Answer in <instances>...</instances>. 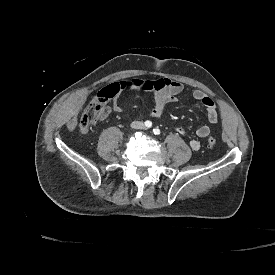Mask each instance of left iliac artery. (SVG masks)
Here are the masks:
<instances>
[{"instance_id": "44dca946", "label": "left iliac artery", "mask_w": 275, "mask_h": 275, "mask_svg": "<svg viewBox=\"0 0 275 275\" xmlns=\"http://www.w3.org/2000/svg\"><path fill=\"white\" fill-rule=\"evenodd\" d=\"M153 133H154L155 135H159V134H160V130H159L158 128H154V129H153Z\"/></svg>"}]
</instances>
